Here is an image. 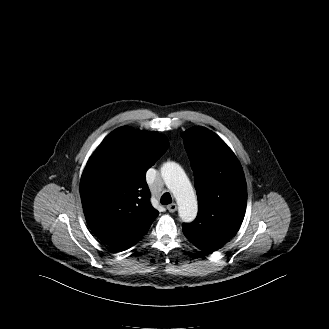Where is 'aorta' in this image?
<instances>
[{"label": "aorta", "instance_id": "obj_1", "mask_svg": "<svg viewBox=\"0 0 329 329\" xmlns=\"http://www.w3.org/2000/svg\"><path fill=\"white\" fill-rule=\"evenodd\" d=\"M161 176L177 201L181 220L192 222L197 216V199L184 170L175 162H167L161 168Z\"/></svg>", "mask_w": 329, "mask_h": 329}]
</instances>
